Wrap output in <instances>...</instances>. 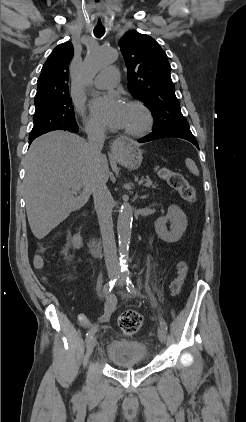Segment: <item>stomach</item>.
Segmentation results:
<instances>
[{"instance_id": "0dacf381", "label": "stomach", "mask_w": 246, "mask_h": 422, "mask_svg": "<svg viewBox=\"0 0 246 422\" xmlns=\"http://www.w3.org/2000/svg\"><path fill=\"white\" fill-rule=\"evenodd\" d=\"M142 150L134 143H125L118 151V161L129 169H137L140 167L143 157Z\"/></svg>"}]
</instances>
